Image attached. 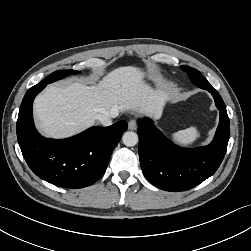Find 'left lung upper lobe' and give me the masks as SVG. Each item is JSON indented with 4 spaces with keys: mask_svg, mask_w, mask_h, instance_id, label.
<instances>
[{
    "mask_svg": "<svg viewBox=\"0 0 251 251\" xmlns=\"http://www.w3.org/2000/svg\"><path fill=\"white\" fill-rule=\"evenodd\" d=\"M181 68L186 71L191 78L192 82L199 86V84H206L208 81L202 76V74L189 66H181Z\"/></svg>",
    "mask_w": 251,
    "mask_h": 251,
    "instance_id": "left-lung-upper-lobe-1",
    "label": "left lung upper lobe"
}]
</instances>
